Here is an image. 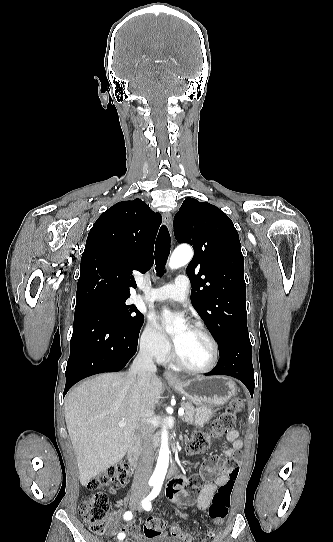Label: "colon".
Listing matches in <instances>:
<instances>
[{
  "mask_svg": "<svg viewBox=\"0 0 333 542\" xmlns=\"http://www.w3.org/2000/svg\"><path fill=\"white\" fill-rule=\"evenodd\" d=\"M242 406L241 399H233L229 407L215 419L208 431H196L188 442V453L201 455L209 450L213 439L219 438L226 433H232L237 413L241 411ZM222 461L224 462V471L229 475V481L218 489L209 507V517L213 522V526L210 527L211 532H216L217 526L226 520L234 483L240 471L237 459L227 458L226 460L222 459ZM129 472V466L121 470L119 465H114L107 468L99 476L90 479L88 485L92 489L107 488L110 493L114 494L118 487L128 479ZM190 485L191 487H201L203 485V476L201 474L192 475ZM108 509L109 504L106 495L97 493L83 499L79 506V513L92 532L102 535L107 528ZM143 531L147 539H164L166 537L165 522L158 517H150L146 521ZM172 535L176 539H186V534L180 528H174Z\"/></svg>",
  "mask_w": 333,
  "mask_h": 542,
  "instance_id": "1",
  "label": "colon"
}]
</instances>
